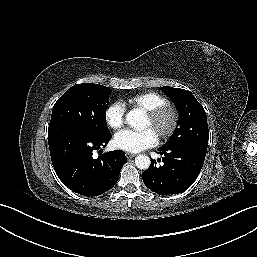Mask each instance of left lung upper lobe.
<instances>
[{
  "instance_id": "5c2ea615",
  "label": "left lung upper lobe",
  "mask_w": 257,
  "mask_h": 257,
  "mask_svg": "<svg viewBox=\"0 0 257 257\" xmlns=\"http://www.w3.org/2000/svg\"><path fill=\"white\" fill-rule=\"evenodd\" d=\"M161 90L174 102L180 117L172 137L162 148L193 146L207 150L209 133L202 105L187 90L169 86Z\"/></svg>"
}]
</instances>
